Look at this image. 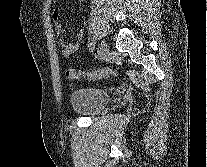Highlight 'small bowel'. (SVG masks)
<instances>
[{
    "mask_svg": "<svg viewBox=\"0 0 207 167\" xmlns=\"http://www.w3.org/2000/svg\"><path fill=\"white\" fill-rule=\"evenodd\" d=\"M80 1H84V0H80ZM55 23V29L57 34L59 35V45L61 47V51L62 54L64 55V57H69L70 55L74 54L78 48H79V43L82 41L83 39V32L79 31L76 34V40L75 41H69L66 39V37L64 36V27L63 24L59 21V10L56 9L54 11L53 14Z\"/></svg>",
    "mask_w": 207,
    "mask_h": 167,
    "instance_id": "c3829d8e",
    "label": "small bowel"
}]
</instances>
